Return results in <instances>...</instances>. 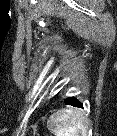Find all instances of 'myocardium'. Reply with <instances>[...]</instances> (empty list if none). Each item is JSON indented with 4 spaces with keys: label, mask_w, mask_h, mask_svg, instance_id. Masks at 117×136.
Returning a JSON list of instances; mask_svg holds the SVG:
<instances>
[{
    "label": "myocardium",
    "mask_w": 117,
    "mask_h": 136,
    "mask_svg": "<svg viewBox=\"0 0 117 136\" xmlns=\"http://www.w3.org/2000/svg\"><path fill=\"white\" fill-rule=\"evenodd\" d=\"M39 95L37 93H34L30 95V99L32 102H36L38 100Z\"/></svg>",
    "instance_id": "obj_1"
}]
</instances>
